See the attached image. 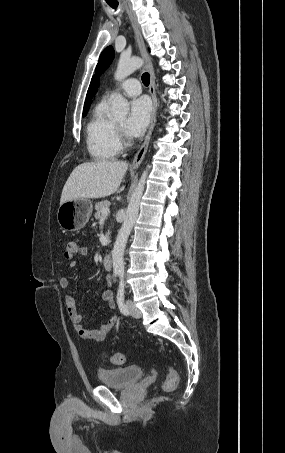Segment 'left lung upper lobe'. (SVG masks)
<instances>
[{
    "mask_svg": "<svg viewBox=\"0 0 285 453\" xmlns=\"http://www.w3.org/2000/svg\"><path fill=\"white\" fill-rule=\"evenodd\" d=\"M113 57L114 50L112 46L105 48L99 57V62L96 66V73L101 74L112 62Z\"/></svg>",
    "mask_w": 285,
    "mask_h": 453,
    "instance_id": "1",
    "label": "left lung upper lobe"
}]
</instances>
